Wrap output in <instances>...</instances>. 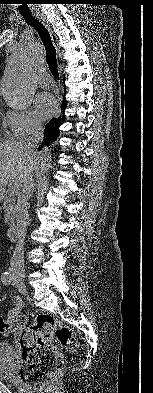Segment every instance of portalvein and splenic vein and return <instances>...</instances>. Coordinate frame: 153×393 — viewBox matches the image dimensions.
I'll list each match as a JSON object with an SVG mask.
<instances>
[{
	"label": "portal vein and splenic vein",
	"mask_w": 153,
	"mask_h": 393,
	"mask_svg": "<svg viewBox=\"0 0 153 393\" xmlns=\"http://www.w3.org/2000/svg\"><path fill=\"white\" fill-rule=\"evenodd\" d=\"M20 188V185L18 183H14L11 187L12 191L17 192Z\"/></svg>",
	"instance_id": "1"
}]
</instances>
